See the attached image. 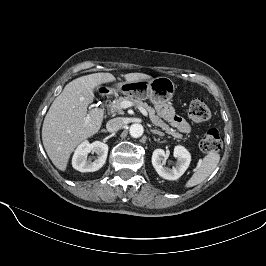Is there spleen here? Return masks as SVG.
<instances>
[{"mask_svg": "<svg viewBox=\"0 0 266 266\" xmlns=\"http://www.w3.org/2000/svg\"><path fill=\"white\" fill-rule=\"evenodd\" d=\"M220 161V154L215 151H209L208 154L199 160L191 178L186 182L185 187L190 188L202 183L217 167Z\"/></svg>", "mask_w": 266, "mask_h": 266, "instance_id": "3e777b00", "label": "spleen"}]
</instances>
